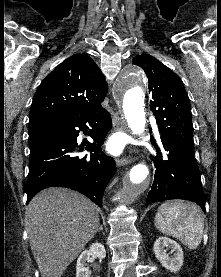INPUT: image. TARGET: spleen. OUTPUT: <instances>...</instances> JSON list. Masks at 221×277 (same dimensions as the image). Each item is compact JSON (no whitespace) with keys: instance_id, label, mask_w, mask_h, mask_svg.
I'll list each match as a JSON object with an SVG mask.
<instances>
[{"instance_id":"spleen-1","label":"spleen","mask_w":221,"mask_h":277,"mask_svg":"<svg viewBox=\"0 0 221 277\" xmlns=\"http://www.w3.org/2000/svg\"><path fill=\"white\" fill-rule=\"evenodd\" d=\"M155 226L189 249H196L203 237L204 222L200 209L184 200L161 204L155 216Z\"/></svg>"}]
</instances>
